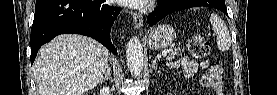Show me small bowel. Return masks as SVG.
<instances>
[{
    "label": "small bowel",
    "mask_w": 277,
    "mask_h": 95,
    "mask_svg": "<svg viewBox=\"0 0 277 95\" xmlns=\"http://www.w3.org/2000/svg\"><path fill=\"white\" fill-rule=\"evenodd\" d=\"M176 67L182 69V73L185 77H193L202 70H207L209 67V60L198 62L189 57H183L174 62ZM202 84L212 87L215 95H225L222 83L218 77H214L211 71H205L201 75Z\"/></svg>",
    "instance_id": "small-bowel-1"
}]
</instances>
